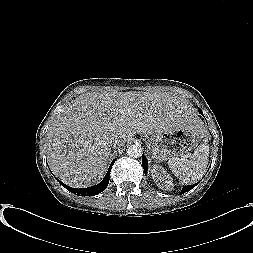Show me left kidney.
<instances>
[{"label": "left kidney", "mask_w": 253, "mask_h": 253, "mask_svg": "<svg viewBox=\"0 0 253 253\" xmlns=\"http://www.w3.org/2000/svg\"><path fill=\"white\" fill-rule=\"evenodd\" d=\"M153 179L161 189L170 190L173 187V181L171 176L161 166H154Z\"/></svg>", "instance_id": "5707ae66"}]
</instances>
